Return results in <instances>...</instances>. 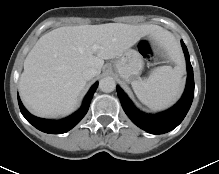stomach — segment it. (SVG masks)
I'll return each instance as SVG.
<instances>
[{
    "label": "stomach",
    "mask_w": 219,
    "mask_h": 174,
    "mask_svg": "<svg viewBox=\"0 0 219 174\" xmlns=\"http://www.w3.org/2000/svg\"><path fill=\"white\" fill-rule=\"evenodd\" d=\"M143 65L141 54L135 49H128L115 62L114 69L123 80L131 81L140 75Z\"/></svg>",
    "instance_id": "stomach-1"
}]
</instances>
